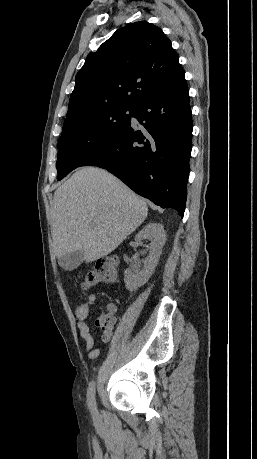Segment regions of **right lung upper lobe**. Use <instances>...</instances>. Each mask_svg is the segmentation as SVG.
<instances>
[{
    "label": "right lung upper lobe",
    "mask_w": 257,
    "mask_h": 459,
    "mask_svg": "<svg viewBox=\"0 0 257 459\" xmlns=\"http://www.w3.org/2000/svg\"><path fill=\"white\" fill-rule=\"evenodd\" d=\"M184 73L171 41L146 21L118 29L75 78L63 127L112 107H136Z\"/></svg>",
    "instance_id": "obj_1"
}]
</instances>
